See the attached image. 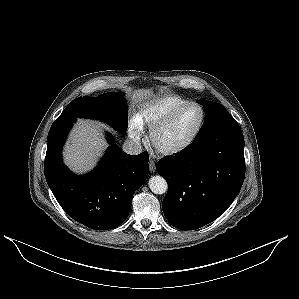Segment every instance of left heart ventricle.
Returning a JSON list of instances; mask_svg holds the SVG:
<instances>
[{"mask_svg":"<svg viewBox=\"0 0 299 299\" xmlns=\"http://www.w3.org/2000/svg\"><path fill=\"white\" fill-rule=\"evenodd\" d=\"M201 110L197 106L186 108L168 127L155 137V145L160 149H171L186 142L198 127Z\"/></svg>","mask_w":299,"mask_h":299,"instance_id":"1","label":"left heart ventricle"}]
</instances>
